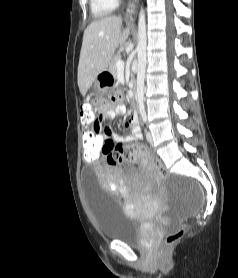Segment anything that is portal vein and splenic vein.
Returning <instances> with one entry per match:
<instances>
[{
  "label": "portal vein and splenic vein",
  "instance_id": "18ae733b",
  "mask_svg": "<svg viewBox=\"0 0 238 278\" xmlns=\"http://www.w3.org/2000/svg\"><path fill=\"white\" fill-rule=\"evenodd\" d=\"M116 66H117L118 70H123L124 66H125L124 60L123 59L118 60L117 63H116Z\"/></svg>",
  "mask_w": 238,
  "mask_h": 278
}]
</instances>
